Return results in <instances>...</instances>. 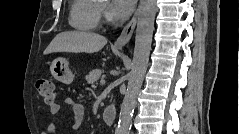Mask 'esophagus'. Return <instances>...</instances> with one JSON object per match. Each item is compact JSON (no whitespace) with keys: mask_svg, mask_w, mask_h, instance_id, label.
Returning a JSON list of instances; mask_svg holds the SVG:
<instances>
[{"mask_svg":"<svg viewBox=\"0 0 239 134\" xmlns=\"http://www.w3.org/2000/svg\"><path fill=\"white\" fill-rule=\"evenodd\" d=\"M137 16H138V9H136L132 19L124 27L122 33L114 42V47L121 49L129 42V40L131 39L132 34L134 32L135 26H136Z\"/></svg>","mask_w":239,"mask_h":134,"instance_id":"1","label":"esophagus"}]
</instances>
